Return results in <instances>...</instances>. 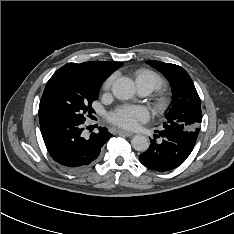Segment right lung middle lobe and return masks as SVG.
<instances>
[{"label":"right lung middle lobe","instance_id":"right-lung-middle-lobe-1","mask_svg":"<svg viewBox=\"0 0 234 234\" xmlns=\"http://www.w3.org/2000/svg\"><path fill=\"white\" fill-rule=\"evenodd\" d=\"M100 84L56 71L49 79L39 105V121L54 118L85 120V114L94 112L91 107L98 98Z\"/></svg>","mask_w":234,"mask_h":234}]
</instances>
